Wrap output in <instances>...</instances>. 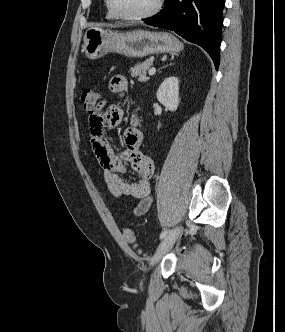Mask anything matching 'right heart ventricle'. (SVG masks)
<instances>
[{
    "mask_svg": "<svg viewBox=\"0 0 285 332\" xmlns=\"http://www.w3.org/2000/svg\"><path fill=\"white\" fill-rule=\"evenodd\" d=\"M105 6H106V18L107 19H115V17L111 14V12L109 11L106 1H105Z\"/></svg>",
    "mask_w": 285,
    "mask_h": 332,
    "instance_id": "right-heart-ventricle-1",
    "label": "right heart ventricle"
}]
</instances>
